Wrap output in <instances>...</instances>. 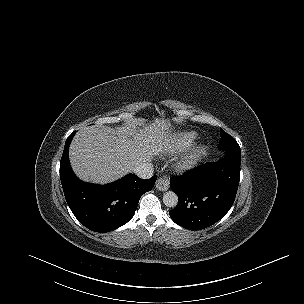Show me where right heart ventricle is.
Masks as SVG:
<instances>
[{"mask_svg": "<svg viewBox=\"0 0 304 304\" xmlns=\"http://www.w3.org/2000/svg\"><path fill=\"white\" fill-rule=\"evenodd\" d=\"M196 138L195 132L177 133L166 142V150L172 154L183 152L194 143Z\"/></svg>", "mask_w": 304, "mask_h": 304, "instance_id": "e07e8e85", "label": "right heart ventricle"}]
</instances>
